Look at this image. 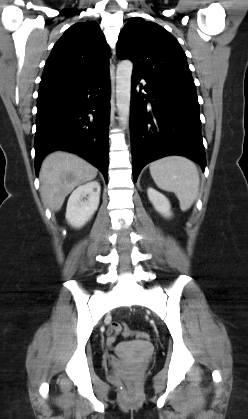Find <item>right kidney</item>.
Returning a JSON list of instances; mask_svg holds the SVG:
<instances>
[{
  "instance_id": "1",
  "label": "right kidney",
  "mask_w": 248,
  "mask_h": 419,
  "mask_svg": "<svg viewBox=\"0 0 248 419\" xmlns=\"http://www.w3.org/2000/svg\"><path fill=\"white\" fill-rule=\"evenodd\" d=\"M100 189L99 182L91 181L73 191L66 209V219L71 226L80 228L91 219L98 209Z\"/></svg>"
}]
</instances>
